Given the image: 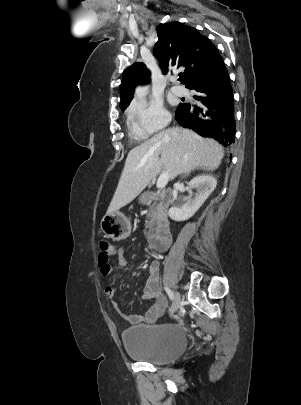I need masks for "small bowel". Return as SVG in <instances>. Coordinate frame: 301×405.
Instances as JSON below:
<instances>
[{
    "label": "small bowel",
    "mask_w": 301,
    "mask_h": 405,
    "mask_svg": "<svg viewBox=\"0 0 301 405\" xmlns=\"http://www.w3.org/2000/svg\"><path fill=\"white\" fill-rule=\"evenodd\" d=\"M117 257L118 264L121 267L127 265V260L124 256L123 250L111 247L108 256H99V269L102 277H108L111 273L112 267L110 265V258ZM159 280V262L154 260L150 262L147 268V277L145 279L142 299L149 301L150 306L144 314H127L122 310L119 313L131 324L141 323H155L163 314L167 306V299L161 293L158 286ZM106 298L115 303V291L112 287L107 286L104 289Z\"/></svg>",
    "instance_id": "small-bowel-1"
}]
</instances>
